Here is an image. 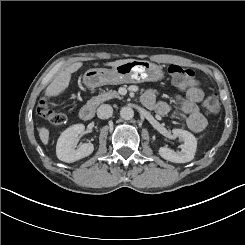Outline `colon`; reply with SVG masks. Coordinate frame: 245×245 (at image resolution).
<instances>
[{
	"instance_id": "obj_1",
	"label": "colon",
	"mask_w": 245,
	"mask_h": 245,
	"mask_svg": "<svg viewBox=\"0 0 245 245\" xmlns=\"http://www.w3.org/2000/svg\"><path fill=\"white\" fill-rule=\"evenodd\" d=\"M168 72L176 84L194 77L193 70L175 64L169 66ZM203 107L210 114L218 113L220 110L218 97L215 94L208 95L203 100ZM37 113L53 126H60L66 121L65 115L55 109L54 99L50 96L43 98L39 102Z\"/></svg>"
}]
</instances>
